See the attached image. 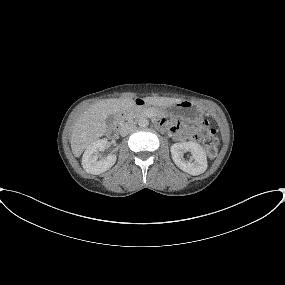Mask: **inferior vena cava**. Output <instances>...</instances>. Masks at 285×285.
<instances>
[{
	"mask_svg": "<svg viewBox=\"0 0 285 285\" xmlns=\"http://www.w3.org/2000/svg\"><path fill=\"white\" fill-rule=\"evenodd\" d=\"M135 128H136L135 123L127 122L120 127V134L122 136H126L127 134L132 132Z\"/></svg>",
	"mask_w": 285,
	"mask_h": 285,
	"instance_id": "602c4592",
	"label": "inferior vena cava"
}]
</instances>
